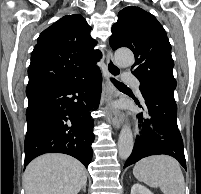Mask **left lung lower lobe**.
<instances>
[{"label": "left lung lower lobe", "instance_id": "0a47b994", "mask_svg": "<svg viewBox=\"0 0 201 194\" xmlns=\"http://www.w3.org/2000/svg\"><path fill=\"white\" fill-rule=\"evenodd\" d=\"M147 116L138 114L142 135L137 137L124 168L140 159L158 154L176 158L186 169L183 140L177 126V105L174 94L152 90L142 95ZM141 107V105L138 103Z\"/></svg>", "mask_w": 201, "mask_h": 194}]
</instances>
